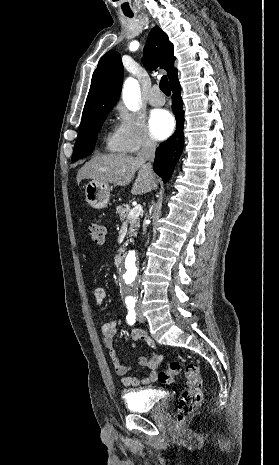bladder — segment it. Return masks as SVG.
<instances>
[{
	"label": "bladder",
	"instance_id": "31cf9c89",
	"mask_svg": "<svg viewBox=\"0 0 279 465\" xmlns=\"http://www.w3.org/2000/svg\"><path fill=\"white\" fill-rule=\"evenodd\" d=\"M166 392L155 389H133L124 392L126 407L132 412L162 413L168 405Z\"/></svg>",
	"mask_w": 279,
	"mask_h": 465
}]
</instances>
